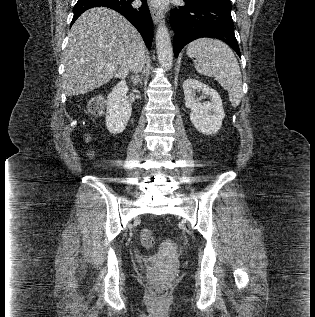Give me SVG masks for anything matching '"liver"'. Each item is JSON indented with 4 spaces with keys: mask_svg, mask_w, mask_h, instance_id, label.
<instances>
[{
    "mask_svg": "<svg viewBox=\"0 0 315 317\" xmlns=\"http://www.w3.org/2000/svg\"><path fill=\"white\" fill-rule=\"evenodd\" d=\"M138 53L145 54L142 37L122 15L104 7L86 11L73 24L63 54L66 95L88 93L113 77L124 79Z\"/></svg>",
    "mask_w": 315,
    "mask_h": 317,
    "instance_id": "1",
    "label": "liver"
}]
</instances>
